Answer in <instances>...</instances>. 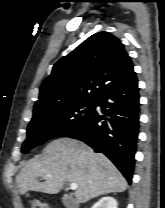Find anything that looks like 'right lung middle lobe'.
Listing matches in <instances>:
<instances>
[{
  "label": "right lung middle lobe",
  "instance_id": "dd1d6c3e",
  "mask_svg": "<svg viewBox=\"0 0 165 208\" xmlns=\"http://www.w3.org/2000/svg\"><path fill=\"white\" fill-rule=\"evenodd\" d=\"M96 103L97 101L73 100L34 110L22 152L25 153L51 138L68 136L76 131L90 117Z\"/></svg>",
  "mask_w": 165,
  "mask_h": 208
}]
</instances>
